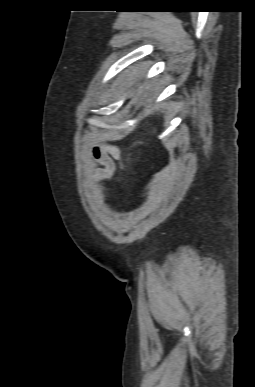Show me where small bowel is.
Returning <instances> with one entry per match:
<instances>
[{
	"label": "small bowel",
	"instance_id": "c3829d8e",
	"mask_svg": "<svg viewBox=\"0 0 255 387\" xmlns=\"http://www.w3.org/2000/svg\"><path fill=\"white\" fill-rule=\"evenodd\" d=\"M86 168L92 183H100L114 177L117 167L115 159L121 156L117 145H95L86 153Z\"/></svg>",
	"mask_w": 255,
	"mask_h": 387
}]
</instances>
